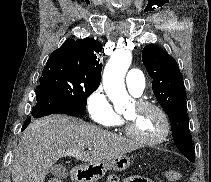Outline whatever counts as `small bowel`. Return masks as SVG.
I'll return each mask as SVG.
<instances>
[{
    "instance_id": "obj_1",
    "label": "small bowel",
    "mask_w": 211,
    "mask_h": 182,
    "mask_svg": "<svg viewBox=\"0 0 211 182\" xmlns=\"http://www.w3.org/2000/svg\"><path fill=\"white\" fill-rule=\"evenodd\" d=\"M108 182H153V181L146 177H141V176H133L121 181L118 177L112 175L109 177Z\"/></svg>"
}]
</instances>
